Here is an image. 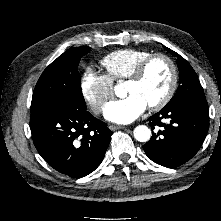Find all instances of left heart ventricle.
I'll return each mask as SVG.
<instances>
[{
	"label": "left heart ventricle",
	"mask_w": 221,
	"mask_h": 221,
	"mask_svg": "<svg viewBox=\"0 0 221 221\" xmlns=\"http://www.w3.org/2000/svg\"><path fill=\"white\" fill-rule=\"evenodd\" d=\"M171 80V70L163 59L153 60L146 69L142 79L138 82H127V95H138L147 106L159 101L166 93Z\"/></svg>",
	"instance_id": "obj_1"
}]
</instances>
